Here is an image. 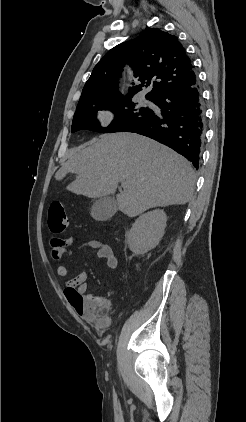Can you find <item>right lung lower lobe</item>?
Returning a JSON list of instances; mask_svg holds the SVG:
<instances>
[{
	"mask_svg": "<svg viewBox=\"0 0 246 422\" xmlns=\"http://www.w3.org/2000/svg\"><path fill=\"white\" fill-rule=\"evenodd\" d=\"M160 112L124 132H134L167 145L198 169L204 141L205 118L198 81L177 87L153 100Z\"/></svg>",
	"mask_w": 246,
	"mask_h": 422,
	"instance_id": "right-lung-lower-lobe-1",
	"label": "right lung lower lobe"
}]
</instances>
